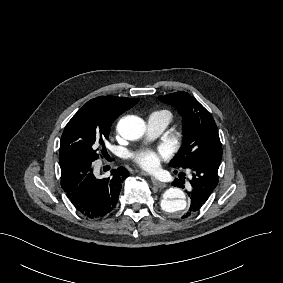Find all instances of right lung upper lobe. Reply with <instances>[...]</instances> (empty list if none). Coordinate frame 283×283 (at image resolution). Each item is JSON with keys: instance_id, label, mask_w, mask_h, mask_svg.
Listing matches in <instances>:
<instances>
[{"instance_id": "1", "label": "right lung upper lobe", "mask_w": 283, "mask_h": 283, "mask_svg": "<svg viewBox=\"0 0 283 283\" xmlns=\"http://www.w3.org/2000/svg\"><path fill=\"white\" fill-rule=\"evenodd\" d=\"M139 101L138 98H123L116 96H101L90 100L88 103L97 107L104 108L112 115L119 114L125 103ZM120 115V114H119Z\"/></svg>"}]
</instances>
